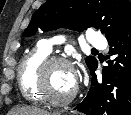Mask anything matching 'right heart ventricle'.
Returning a JSON list of instances; mask_svg holds the SVG:
<instances>
[{"label":"right heart ventricle","instance_id":"1","mask_svg":"<svg viewBox=\"0 0 131 115\" xmlns=\"http://www.w3.org/2000/svg\"><path fill=\"white\" fill-rule=\"evenodd\" d=\"M49 52L36 47L24 55L17 69V82L23 98L33 104L43 103V99L35 88L36 71Z\"/></svg>","mask_w":131,"mask_h":115}]
</instances>
